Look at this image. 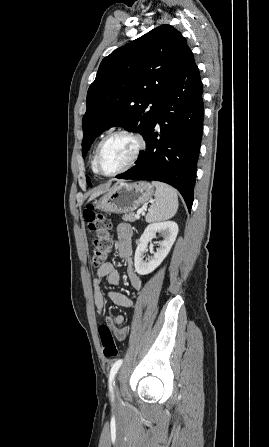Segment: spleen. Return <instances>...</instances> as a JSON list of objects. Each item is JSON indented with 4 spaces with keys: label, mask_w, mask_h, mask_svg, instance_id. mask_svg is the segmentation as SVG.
Listing matches in <instances>:
<instances>
[{
    "label": "spleen",
    "mask_w": 269,
    "mask_h": 447,
    "mask_svg": "<svg viewBox=\"0 0 269 447\" xmlns=\"http://www.w3.org/2000/svg\"><path fill=\"white\" fill-rule=\"evenodd\" d=\"M156 188L155 204L150 206V210L145 216V222H163L173 218L178 210V194L174 188L162 184V182H152Z\"/></svg>",
    "instance_id": "spleen-1"
}]
</instances>
